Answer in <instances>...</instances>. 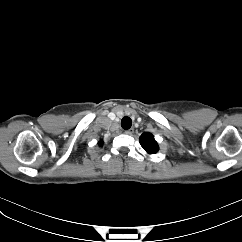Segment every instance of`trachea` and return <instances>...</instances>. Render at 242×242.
<instances>
[{"label":"trachea","instance_id":"1","mask_svg":"<svg viewBox=\"0 0 242 242\" xmlns=\"http://www.w3.org/2000/svg\"><path fill=\"white\" fill-rule=\"evenodd\" d=\"M121 126L124 130H128L132 126V120L128 116L123 117Z\"/></svg>","mask_w":242,"mask_h":242}]
</instances>
